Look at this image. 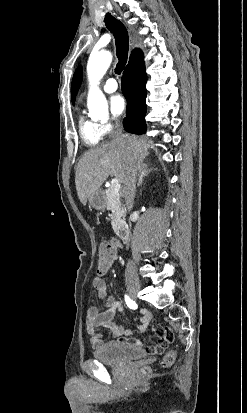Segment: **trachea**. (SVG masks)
Listing matches in <instances>:
<instances>
[{"label": "trachea", "mask_w": 247, "mask_h": 413, "mask_svg": "<svg viewBox=\"0 0 247 413\" xmlns=\"http://www.w3.org/2000/svg\"><path fill=\"white\" fill-rule=\"evenodd\" d=\"M105 24L115 37L117 57L119 60L115 68V73L120 75L127 62L129 49L128 32L123 23L110 14H106Z\"/></svg>", "instance_id": "3493384b"}]
</instances>
